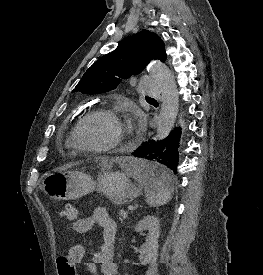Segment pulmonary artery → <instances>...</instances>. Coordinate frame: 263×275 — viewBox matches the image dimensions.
<instances>
[{
	"label": "pulmonary artery",
	"mask_w": 263,
	"mask_h": 275,
	"mask_svg": "<svg viewBox=\"0 0 263 275\" xmlns=\"http://www.w3.org/2000/svg\"><path fill=\"white\" fill-rule=\"evenodd\" d=\"M140 88L142 92L148 96L159 95V85L152 79L144 78L140 82Z\"/></svg>",
	"instance_id": "obj_1"
}]
</instances>
